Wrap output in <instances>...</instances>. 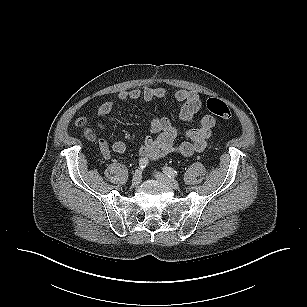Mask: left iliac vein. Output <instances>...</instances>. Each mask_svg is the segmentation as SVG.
<instances>
[{"label":"left iliac vein","mask_w":307,"mask_h":307,"mask_svg":"<svg viewBox=\"0 0 307 307\" xmlns=\"http://www.w3.org/2000/svg\"><path fill=\"white\" fill-rule=\"evenodd\" d=\"M155 178L158 179L159 181H161L162 183H164L165 185H167L168 187L172 188V189L177 190V189L180 188L179 183L175 179L168 178L163 173L156 172Z\"/></svg>","instance_id":"left-iliac-vein-1"}]
</instances>
